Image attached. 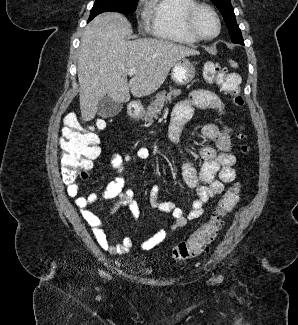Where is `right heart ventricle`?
Returning a JSON list of instances; mask_svg holds the SVG:
<instances>
[{
	"instance_id": "obj_1",
	"label": "right heart ventricle",
	"mask_w": 298,
	"mask_h": 325,
	"mask_svg": "<svg viewBox=\"0 0 298 325\" xmlns=\"http://www.w3.org/2000/svg\"><path fill=\"white\" fill-rule=\"evenodd\" d=\"M191 0L147 1L144 14L151 27L150 37H160L161 41H180V46H194L198 42L184 32L181 16L190 6Z\"/></svg>"
}]
</instances>
